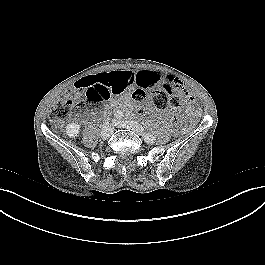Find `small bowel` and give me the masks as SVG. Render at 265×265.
Returning <instances> with one entry per match:
<instances>
[{
	"label": "small bowel",
	"mask_w": 265,
	"mask_h": 265,
	"mask_svg": "<svg viewBox=\"0 0 265 265\" xmlns=\"http://www.w3.org/2000/svg\"><path fill=\"white\" fill-rule=\"evenodd\" d=\"M97 77L107 76L110 77V89L112 94H119L132 86H139L143 89H154L160 87L164 84L167 76L163 75L161 72L156 70H140V71H130V70H118L111 72H104L94 75ZM195 112L194 114H198Z\"/></svg>",
	"instance_id": "obj_1"
}]
</instances>
